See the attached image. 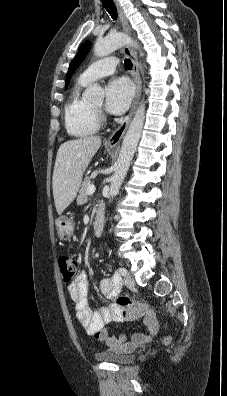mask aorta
<instances>
[{"instance_id":"762f6f07","label":"aorta","mask_w":227,"mask_h":396,"mask_svg":"<svg viewBox=\"0 0 227 396\" xmlns=\"http://www.w3.org/2000/svg\"><path fill=\"white\" fill-rule=\"evenodd\" d=\"M139 48L136 41L124 33H110L105 38L98 40L94 45V54L105 57L124 45ZM86 98L93 101H102L103 93L98 85H93L85 91ZM145 120V103L141 101L123 139L120 154L116 163L114 174L111 177L110 201L119 192L121 184L127 174L130 163L139 142Z\"/></svg>"}]
</instances>
